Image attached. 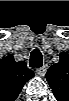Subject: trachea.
<instances>
[{
	"label": "trachea",
	"mask_w": 69,
	"mask_h": 101,
	"mask_svg": "<svg viewBox=\"0 0 69 101\" xmlns=\"http://www.w3.org/2000/svg\"><path fill=\"white\" fill-rule=\"evenodd\" d=\"M43 64L42 54L39 49H34L30 54L29 66L31 68H40Z\"/></svg>",
	"instance_id": "3493384b"
}]
</instances>
